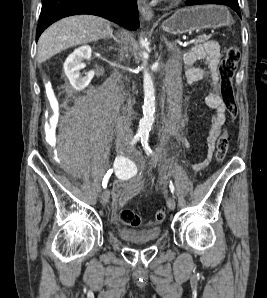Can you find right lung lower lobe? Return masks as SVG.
Wrapping results in <instances>:
<instances>
[{
    "label": "right lung lower lobe",
    "instance_id": "obj_1",
    "mask_svg": "<svg viewBox=\"0 0 267 298\" xmlns=\"http://www.w3.org/2000/svg\"><path fill=\"white\" fill-rule=\"evenodd\" d=\"M76 14L101 16L129 30L139 27L136 0H42L36 41L53 22Z\"/></svg>",
    "mask_w": 267,
    "mask_h": 298
}]
</instances>
